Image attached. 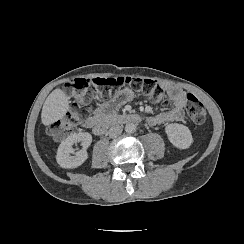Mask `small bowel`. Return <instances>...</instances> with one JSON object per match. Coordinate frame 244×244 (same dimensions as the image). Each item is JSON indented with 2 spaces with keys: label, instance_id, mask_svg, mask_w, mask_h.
<instances>
[{
  "label": "small bowel",
  "instance_id": "small-bowel-1",
  "mask_svg": "<svg viewBox=\"0 0 244 244\" xmlns=\"http://www.w3.org/2000/svg\"><path fill=\"white\" fill-rule=\"evenodd\" d=\"M163 88L166 92L168 100L172 103V108L163 111L157 115L150 116L148 123L152 126L161 125L168 122H181L184 119V108L187 104V93L177 85L164 84ZM134 93L130 88H123L111 100L103 103L98 107L92 116L84 121L83 126L91 129L98 124L104 117L106 111L112 112L120 108L125 103L133 99Z\"/></svg>",
  "mask_w": 244,
  "mask_h": 244
}]
</instances>
